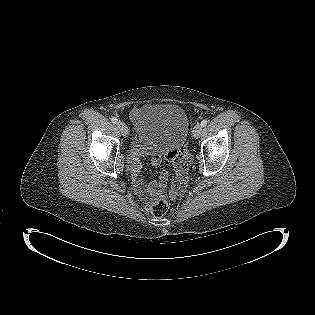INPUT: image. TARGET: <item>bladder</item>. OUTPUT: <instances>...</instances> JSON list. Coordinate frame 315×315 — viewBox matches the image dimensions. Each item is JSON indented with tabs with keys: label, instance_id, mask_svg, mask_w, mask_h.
I'll return each instance as SVG.
<instances>
[{
	"label": "bladder",
	"instance_id": "1",
	"mask_svg": "<svg viewBox=\"0 0 315 315\" xmlns=\"http://www.w3.org/2000/svg\"><path fill=\"white\" fill-rule=\"evenodd\" d=\"M134 141L144 150L182 146L189 133V119L178 105L148 104L134 117Z\"/></svg>",
	"mask_w": 315,
	"mask_h": 315
}]
</instances>
